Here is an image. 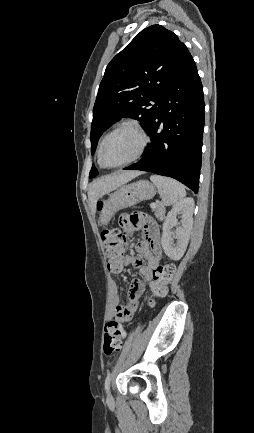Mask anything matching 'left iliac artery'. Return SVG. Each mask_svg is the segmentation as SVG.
<instances>
[{
  "instance_id": "1",
  "label": "left iliac artery",
  "mask_w": 254,
  "mask_h": 433,
  "mask_svg": "<svg viewBox=\"0 0 254 433\" xmlns=\"http://www.w3.org/2000/svg\"><path fill=\"white\" fill-rule=\"evenodd\" d=\"M110 380H111V373H109L105 379V390L108 393L110 388Z\"/></svg>"
}]
</instances>
